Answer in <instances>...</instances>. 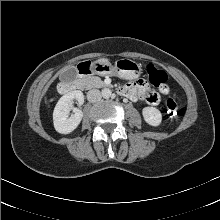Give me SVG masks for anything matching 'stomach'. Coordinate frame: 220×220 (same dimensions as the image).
Returning <instances> with one entry per match:
<instances>
[{
    "label": "stomach",
    "mask_w": 220,
    "mask_h": 220,
    "mask_svg": "<svg viewBox=\"0 0 220 220\" xmlns=\"http://www.w3.org/2000/svg\"><path fill=\"white\" fill-rule=\"evenodd\" d=\"M90 71L93 74H98L101 76L117 75L120 78L131 80L140 76L142 67L137 62L128 58L119 59L114 65H112L110 62L103 63L97 60L90 63Z\"/></svg>",
    "instance_id": "obj_1"
}]
</instances>
